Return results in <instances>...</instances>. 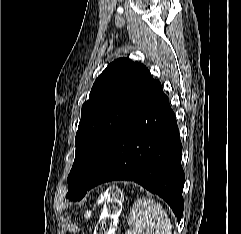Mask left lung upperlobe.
<instances>
[{"instance_id": "obj_1", "label": "left lung upper lobe", "mask_w": 241, "mask_h": 234, "mask_svg": "<svg viewBox=\"0 0 241 234\" xmlns=\"http://www.w3.org/2000/svg\"><path fill=\"white\" fill-rule=\"evenodd\" d=\"M152 81L149 70L129 58L110 63L96 79L82 106L75 160L67 178L69 200L79 201L85 196L124 120Z\"/></svg>"}]
</instances>
